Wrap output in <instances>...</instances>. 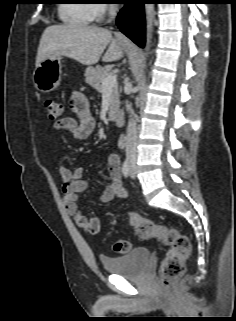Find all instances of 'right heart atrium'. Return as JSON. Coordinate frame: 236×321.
I'll use <instances>...</instances> for the list:
<instances>
[{
    "label": "right heart atrium",
    "instance_id": "1",
    "mask_svg": "<svg viewBox=\"0 0 236 321\" xmlns=\"http://www.w3.org/2000/svg\"><path fill=\"white\" fill-rule=\"evenodd\" d=\"M98 3L93 4L91 15L92 19L99 20L102 19L106 14L110 13L113 8L108 0H97Z\"/></svg>",
    "mask_w": 236,
    "mask_h": 321
}]
</instances>
